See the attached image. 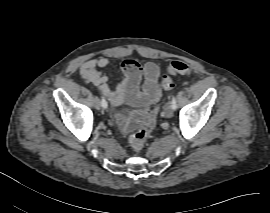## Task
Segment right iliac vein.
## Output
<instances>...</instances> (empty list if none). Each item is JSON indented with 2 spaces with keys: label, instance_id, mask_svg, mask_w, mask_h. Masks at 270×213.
I'll return each instance as SVG.
<instances>
[{
  "label": "right iliac vein",
  "instance_id": "1",
  "mask_svg": "<svg viewBox=\"0 0 270 213\" xmlns=\"http://www.w3.org/2000/svg\"><path fill=\"white\" fill-rule=\"evenodd\" d=\"M94 107L99 110L101 108V103L97 97L94 98L93 100Z\"/></svg>",
  "mask_w": 270,
  "mask_h": 213
}]
</instances>
